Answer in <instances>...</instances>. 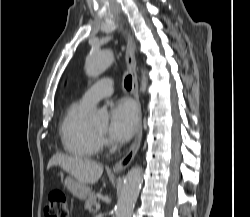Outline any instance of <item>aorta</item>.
<instances>
[{
    "label": "aorta",
    "instance_id": "obj_1",
    "mask_svg": "<svg viewBox=\"0 0 250 217\" xmlns=\"http://www.w3.org/2000/svg\"><path fill=\"white\" fill-rule=\"evenodd\" d=\"M112 61L113 53L109 50L90 53L85 62L87 75L90 77L99 76L109 67ZM141 89L143 93L147 89L145 71H142ZM93 120L102 123L107 122V115L103 110H98L93 115ZM142 182V169L138 166L131 168L124 179L123 188L116 205V217H131L141 190Z\"/></svg>",
    "mask_w": 250,
    "mask_h": 217
}]
</instances>
